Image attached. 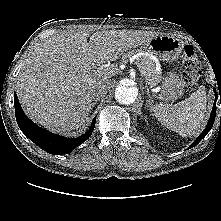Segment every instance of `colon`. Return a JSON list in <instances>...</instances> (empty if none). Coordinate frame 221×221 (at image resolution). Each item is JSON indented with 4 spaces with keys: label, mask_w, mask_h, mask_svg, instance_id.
<instances>
[{
    "label": "colon",
    "mask_w": 221,
    "mask_h": 221,
    "mask_svg": "<svg viewBox=\"0 0 221 221\" xmlns=\"http://www.w3.org/2000/svg\"><path fill=\"white\" fill-rule=\"evenodd\" d=\"M182 62H183L182 78L184 82L190 86L195 85L199 78V71H198L199 62L196 57V53L193 46L186 45L184 47Z\"/></svg>",
    "instance_id": "5ec220e1"
}]
</instances>
